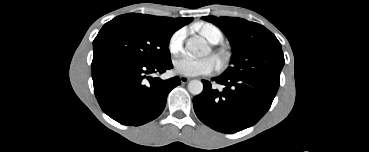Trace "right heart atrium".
Masks as SVG:
<instances>
[{
  "label": "right heart atrium",
  "instance_id": "1",
  "mask_svg": "<svg viewBox=\"0 0 369 152\" xmlns=\"http://www.w3.org/2000/svg\"><path fill=\"white\" fill-rule=\"evenodd\" d=\"M185 36L184 30H177L173 33L168 43V49L172 55L177 56L183 51Z\"/></svg>",
  "mask_w": 369,
  "mask_h": 152
}]
</instances>
